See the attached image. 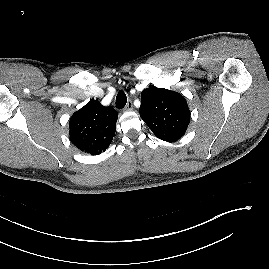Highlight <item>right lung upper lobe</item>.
<instances>
[{
  "label": "right lung upper lobe",
  "mask_w": 269,
  "mask_h": 269,
  "mask_svg": "<svg viewBox=\"0 0 269 269\" xmlns=\"http://www.w3.org/2000/svg\"><path fill=\"white\" fill-rule=\"evenodd\" d=\"M118 113L97 100L76 111L70 121V140L81 151L98 155L105 151L116 132Z\"/></svg>",
  "instance_id": "right-lung-upper-lobe-1"
}]
</instances>
